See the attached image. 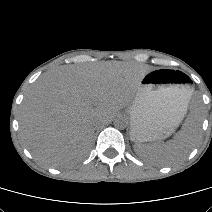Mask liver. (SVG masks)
Here are the masks:
<instances>
[{
  "label": "liver",
  "mask_w": 212,
  "mask_h": 212,
  "mask_svg": "<svg viewBox=\"0 0 212 212\" xmlns=\"http://www.w3.org/2000/svg\"><path fill=\"white\" fill-rule=\"evenodd\" d=\"M149 68L106 61L59 67L42 75L19 113L23 144L44 165L64 167L87 155L94 128L135 97Z\"/></svg>",
  "instance_id": "obj_1"
}]
</instances>
